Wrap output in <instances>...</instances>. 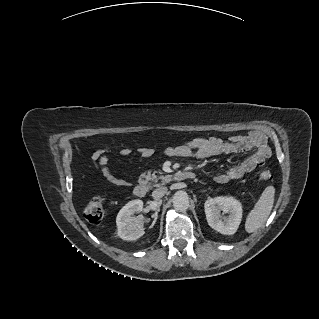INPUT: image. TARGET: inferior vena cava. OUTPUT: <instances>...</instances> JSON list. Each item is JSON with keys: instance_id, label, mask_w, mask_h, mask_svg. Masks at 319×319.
Instances as JSON below:
<instances>
[{"instance_id": "obj_1", "label": "inferior vena cava", "mask_w": 319, "mask_h": 319, "mask_svg": "<svg viewBox=\"0 0 319 319\" xmlns=\"http://www.w3.org/2000/svg\"><path fill=\"white\" fill-rule=\"evenodd\" d=\"M167 190H168L167 187H164V186H161V187L155 189L152 192L153 199H155V200L161 199L167 193Z\"/></svg>"}]
</instances>
